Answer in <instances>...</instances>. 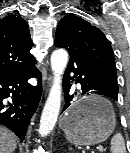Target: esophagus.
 <instances>
[{"label": "esophagus", "instance_id": "34e87169", "mask_svg": "<svg viewBox=\"0 0 130 153\" xmlns=\"http://www.w3.org/2000/svg\"><path fill=\"white\" fill-rule=\"evenodd\" d=\"M51 79H52L51 76H49V77H48V84H50Z\"/></svg>", "mask_w": 130, "mask_h": 153}]
</instances>
